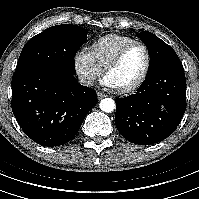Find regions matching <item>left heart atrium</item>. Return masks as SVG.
Masks as SVG:
<instances>
[{
  "mask_svg": "<svg viewBox=\"0 0 199 199\" xmlns=\"http://www.w3.org/2000/svg\"><path fill=\"white\" fill-rule=\"evenodd\" d=\"M103 84H104V86H106L107 88H113L112 86H111V84L104 78V80H103Z\"/></svg>",
  "mask_w": 199,
  "mask_h": 199,
  "instance_id": "1",
  "label": "left heart atrium"
}]
</instances>
